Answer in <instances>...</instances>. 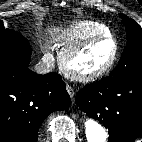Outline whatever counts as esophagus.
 <instances>
[{"instance_id":"1","label":"esophagus","mask_w":142,"mask_h":142,"mask_svg":"<svg viewBox=\"0 0 142 142\" xmlns=\"http://www.w3.org/2000/svg\"><path fill=\"white\" fill-rule=\"evenodd\" d=\"M66 90H67L68 94L70 95V97H71V98H74V96H75V91H74V89H73L71 86L67 85V86H66Z\"/></svg>"}]
</instances>
